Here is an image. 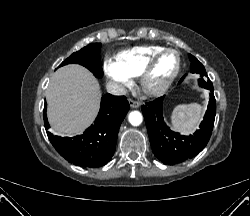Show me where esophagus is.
Instances as JSON below:
<instances>
[{
    "instance_id": "1",
    "label": "esophagus",
    "mask_w": 250,
    "mask_h": 216,
    "mask_svg": "<svg viewBox=\"0 0 250 216\" xmlns=\"http://www.w3.org/2000/svg\"><path fill=\"white\" fill-rule=\"evenodd\" d=\"M129 104H130L131 108H139L140 107V102L133 100V99H129Z\"/></svg>"
}]
</instances>
